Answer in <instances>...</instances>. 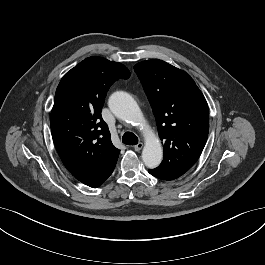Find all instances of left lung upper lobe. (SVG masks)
<instances>
[{
  "instance_id": "left-lung-upper-lobe-1",
  "label": "left lung upper lobe",
  "mask_w": 265,
  "mask_h": 265,
  "mask_svg": "<svg viewBox=\"0 0 265 265\" xmlns=\"http://www.w3.org/2000/svg\"><path fill=\"white\" fill-rule=\"evenodd\" d=\"M156 119L164 158L154 170L165 180L186 173L198 160L209 131L207 102L184 71L158 59L134 66Z\"/></svg>"
}]
</instances>
